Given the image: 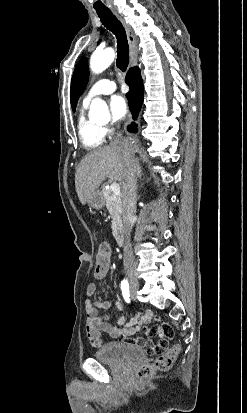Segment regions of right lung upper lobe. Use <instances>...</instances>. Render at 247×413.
I'll use <instances>...</instances> for the list:
<instances>
[{
	"instance_id": "1",
	"label": "right lung upper lobe",
	"mask_w": 247,
	"mask_h": 413,
	"mask_svg": "<svg viewBox=\"0 0 247 413\" xmlns=\"http://www.w3.org/2000/svg\"><path fill=\"white\" fill-rule=\"evenodd\" d=\"M137 70H138V68H131V69L128 71L127 74L133 73V72H135V71H137Z\"/></svg>"
}]
</instances>
